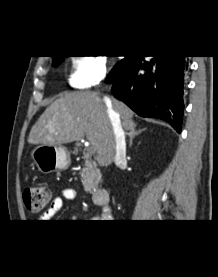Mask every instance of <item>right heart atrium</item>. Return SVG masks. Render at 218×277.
<instances>
[{"label":"right heart atrium","mask_w":218,"mask_h":277,"mask_svg":"<svg viewBox=\"0 0 218 277\" xmlns=\"http://www.w3.org/2000/svg\"><path fill=\"white\" fill-rule=\"evenodd\" d=\"M107 72V61L102 55L87 54L76 56L68 78L75 89H88L100 84Z\"/></svg>","instance_id":"d8ad5b80"}]
</instances>
